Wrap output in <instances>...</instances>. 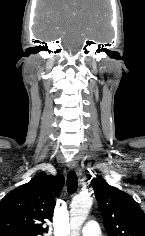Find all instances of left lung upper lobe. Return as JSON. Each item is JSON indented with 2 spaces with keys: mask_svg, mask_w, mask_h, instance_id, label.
I'll list each match as a JSON object with an SVG mask.
<instances>
[{
  "mask_svg": "<svg viewBox=\"0 0 145 236\" xmlns=\"http://www.w3.org/2000/svg\"><path fill=\"white\" fill-rule=\"evenodd\" d=\"M91 186L109 236H145V214L129 194L102 177L93 178Z\"/></svg>",
  "mask_w": 145,
  "mask_h": 236,
  "instance_id": "obj_1",
  "label": "left lung upper lobe"
}]
</instances>
